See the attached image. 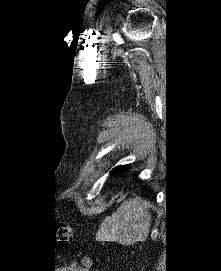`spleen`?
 Masks as SVG:
<instances>
[{
    "label": "spleen",
    "mask_w": 221,
    "mask_h": 271,
    "mask_svg": "<svg viewBox=\"0 0 221 271\" xmlns=\"http://www.w3.org/2000/svg\"><path fill=\"white\" fill-rule=\"evenodd\" d=\"M151 227V215L140 199H126L117 211L107 215L100 225V241H118L122 245H133L145 241Z\"/></svg>",
    "instance_id": "obj_1"
}]
</instances>
